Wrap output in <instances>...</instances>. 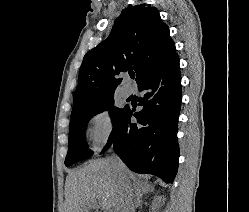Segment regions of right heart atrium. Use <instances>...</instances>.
Returning <instances> with one entry per match:
<instances>
[{
	"instance_id": "right-heart-atrium-1",
	"label": "right heart atrium",
	"mask_w": 249,
	"mask_h": 212,
	"mask_svg": "<svg viewBox=\"0 0 249 212\" xmlns=\"http://www.w3.org/2000/svg\"><path fill=\"white\" fill-rule=\"evenodd\" d=\"M87 133L93 149L102 150L115 133V122L110 111L100 109L92 113L87 120Z\"/></svg>"
}]
</instances>
